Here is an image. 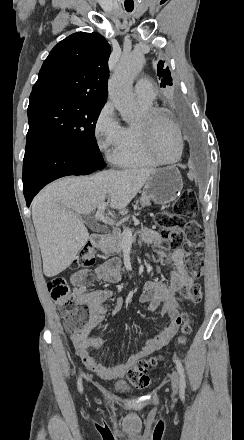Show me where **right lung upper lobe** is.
Masks as SVG:
<instances>
[{
  "instance_id": "cb5924a9",
  "label": "right lung upper lobe",
  "mask_w": 244,
  "mask_h": 440,
  "mask_svg": "<svg viewBox=\"0 0 244 440\" xmlns=\"http://www.w3.org/2000/svg\"><path fill=\"white\" fill-rule=\"evenodd\" d=\"M111 48L98 33L77 32L59 42L44 61L30 100L107 99Z\"/></svg>"
}]
</instances>
